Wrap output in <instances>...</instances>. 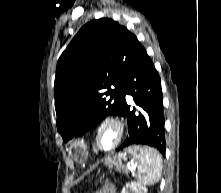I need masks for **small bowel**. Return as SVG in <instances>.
Masks as SVG:
<instances>
[{"label": "small bowel", "mask_w": 221, "mask_h": 193, "mask_svg": "<svg viewBox=\"0 0 221 193\" xmlns=\"http://www.w3.org/2000/svg\"><path fill=\"white\" fill-rule=\"evenodd\" d=\"M95 193H117V190L113 184H105Z\"/></svg>", "instance_id": "small-bowel-1"}]
</instances>
